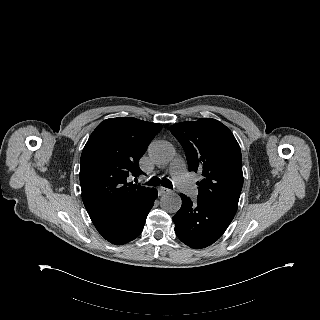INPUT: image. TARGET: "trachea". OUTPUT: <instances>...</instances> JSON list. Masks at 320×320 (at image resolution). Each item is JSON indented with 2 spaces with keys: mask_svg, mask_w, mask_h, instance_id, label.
Returning <instances> with one entry per match:
<instances>
[{
  "mask_svg": "<svg viewBox=\"0 0 320 320\" xmlns=\"http://www.w3.org/2000/svg\"><path fill=\"white\" fill-rule=\"evenodd\" d=\"M145 184L149 186H158L161 184L163 187H166L169 189L173 188L172 182L167 178H163L162 180H160L158 177H153Z\"/></svg>",
  "mask_w": 320,
  "mask_h": 320,
  "instance_id": "trachea-1",
  "label": "trachea"
}]
</instances>
